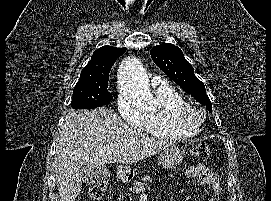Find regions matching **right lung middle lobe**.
Segmentation results:
<instances>
[{
  "instance_id": "obj_1",
  "label": "right lung middle lobe",
  "mask_w": 271,
  "mask_h": 201,
  "mask_svg": "<svg viewBox=\"0 0 271 201\" xmlns=\"http://www.w3.org/2000/svg\"><path fill=\"white\" fill-rule=\"evenodd\" d=\"M109 75H99L79 79L73 89L71 107L93 109L108 104L112 94L107 90Z\"/></svg>"
}]
</instances>
